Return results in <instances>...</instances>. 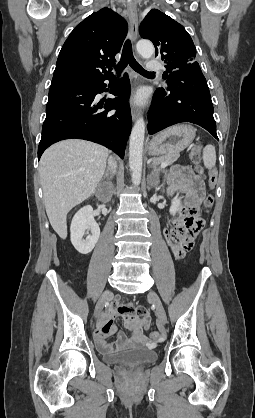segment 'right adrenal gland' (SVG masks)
<instances>
[{
    "mask_svg": "<svg viewBox=\"0 0 255 418\" xmlns=\"http://www.w3.org/2000/svg\"><path fill=\"white\" fill-rule=\"evenodd\" d=\"M104 178H107L108 181H110L112 179V176H110V170L109 169H107V171L104 175Z\"/></svg>",
    "mask_w": 255,
    "mask_h": 418,
    "instance_id": "right-adrenal-gland-1",
    "label": "right adrenal gland"
}]
</instances>
